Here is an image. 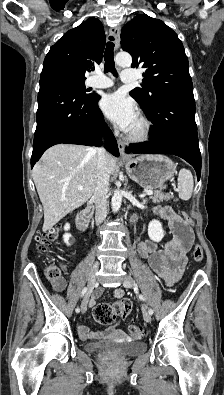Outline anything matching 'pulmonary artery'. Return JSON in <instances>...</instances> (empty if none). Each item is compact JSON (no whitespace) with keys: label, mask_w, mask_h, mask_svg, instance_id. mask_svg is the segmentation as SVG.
<instances>
[{"label":"pulmonary artery","mask_w":224,"mask_h":395,"mask_svg":"<svg viewBox=\"0 0 224 395\" xmlns=\"http://www.w3.org/2000/svg\"><path fill=\"white\" fill-rule=\"evenodd\" d=\"M135 79H136L135 70L126 69L122 71L121 74L122 82L130 83L135 81ZM112 85H113L112 80L101 74H98L89 82V86L93 88H108L111 87Z\"/></svg>","instance_id":"1"}]
</instances>
